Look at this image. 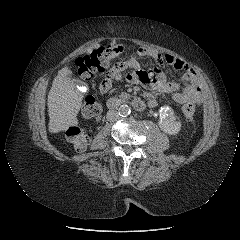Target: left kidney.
<instances>
[{
  "instance_id": "obj_1",
  "label": "left kidney",
  "mask_w": 240,
  "mask_h": 240,
  "mask_svg": "<svg viewBox=\"0 0 240 240\" xmlns=\"http://www.w3.org/2000/svg\"><path fill=\"white\" fill-rule=\"evenodd\" d=\"M158 125L163 132L169 135H176L181 129V122L176 121L173 110L168 106H164L160 109Z\"/></svg>"
}]
</instances>
